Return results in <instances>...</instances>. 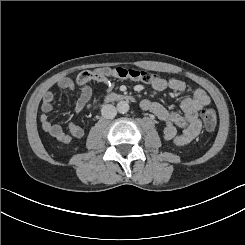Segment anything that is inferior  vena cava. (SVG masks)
Returning <instances> with one entry per match:
<instances>
[{
  "instance_id": "inferior-vena-cava-1",
  "label": "inferior vena cava",
  "mask_w": 245,
  "mask_h": 245,
  "mask_svg": "<svg viewBox=\"0 0 245 245\" xmlns=\"http://www.w3.org/2000/svg\"><path fill=\"white\" fill-rule=\"evenodd\" d=\"M101 114L106 119H113L117 115V109L111 104H106L102 107Z\"/></svg>"
}]
</instances>
